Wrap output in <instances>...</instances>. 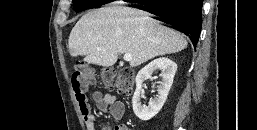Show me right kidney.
Wrapping results in <instances>:
<instances>
[{
	"mask_svg": "<svg viewBox=\"0 0 257 130\" xmlns=\"http://www.w3.org/2000/svg\"><path fill=\"white\" fill-rule=\"evenodd\" d=\"M156 70L162 71V82L158 86V95L154 99H150L148 106L142 105V85L147 79L151 78L153 72ZM176 70L177 64L169 58L163 57L153 60L138 72L136 76V90L132 98V105L135 115L140 120H150L162 109L172 86Z\"/></svg>",
	"mask_w": 257,
	"mask_h": 130,
	"instance_id": "right-kidney-1",
	"label": "right kidney"
}]
</instances>
